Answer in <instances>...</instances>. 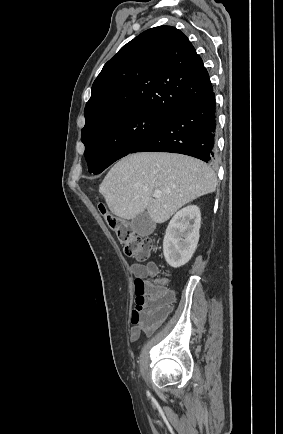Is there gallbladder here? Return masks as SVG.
<instances>
[{"instance_id": "1", "label": "gallbladder", "mask_w": 283, "mask_h": 434, "mask_svg": "<svg viewBox=\"0 0 283 434\" xmlns=\"http://www.w3.org/2000/svg\"><path fill=\"white\" fill-rule=\"evenodd\" d=\"M131 227L138 235L148 236L153 233L155 223L146 212H143L131 220Z\"/></svg>"}]
</instances>
